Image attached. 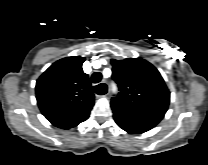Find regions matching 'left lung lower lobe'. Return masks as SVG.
<instances>
[{"mask_svg": "<svg viewBox=\"0 0 208 165\" xmlns=\"http://www.w3.org/2000/svg\"><path fill=\"white\" fill-rule=\"evenodd\" d=\"M114 120L120 128H122L126 132L132 133V134L144 133V132L153 128L148 125H143V124L127 121V120H124V119H122L120 117H116V116H114Z\"/></svg>", "mask_w": 208, "mask_h": 165, "instance_id": "0a47b994", "label": "left lung lower lobe"}]
</instances>
